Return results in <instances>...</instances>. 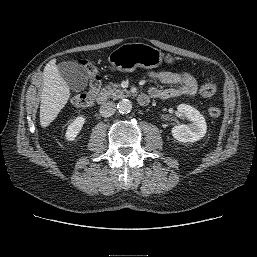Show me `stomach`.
<instances>
[{"mask_svg": "<svg viewBox=\"0 0 257 257\" xmlns=\"http://www.w3.org/2000/svg\"><path fill=\"white\" fill-rule=\"evenodd\" d=\"M163 53L148 44L127 43L112 51L108 61L113 70L133 72L137 67L156 68L162 63ZM170 63L175 59L170 58Z\"/></svg>", "mask_w": 257, "mask_h": 257, "instance_id": "obj_1", "label": "stomach"}]
</instances>
